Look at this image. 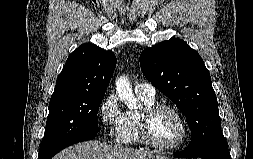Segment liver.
I'll list each match as a JSON object with an SVG mask.
<instances>
[{
  "label": "liver",
  "mask_w": 253,
  "mask_h": 159,
  "mask_svg": "<svg viewBox=\"0 0 253 159\" xmlns=\"http://www.w3.org/2000/svg\"><path fill=\"white\" fill-rule=\"evenodd\" d=\"M52 159H168L148 150L109 146L86 141L65 148Z\"/></svg>",
  "instance_id": "liver-1"
}]
</instances>
